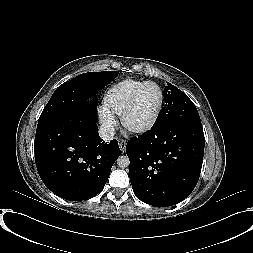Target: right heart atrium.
I'll return each mask as SVG.
<instances>
[{"mask_svg": "<svg viewBox=\"0 0 253 253\" xmlns=\"http://www.w3.org/2000/svg\"><path fill=\"white\" fill-rule=\"evenodd\" d=\"M99 120L103 128L110 133L114 131L117 125L116 116L104 107H101L99 110Z\"/></svg>", "mask_w": 253, "mask_h": 253, "instance_id": "1", "label": "right heart atrium"}]
</instances>
